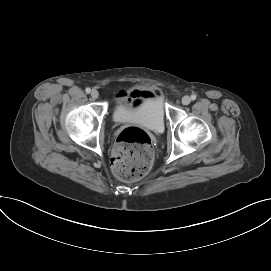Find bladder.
Returning <instances> with one entry per match:
<instances>
[{"label": "bladder", "mask_w": 271, "mask_h": 271, "mask_svg": "<svg viewBox=\"0 0 271 271\" xmlns=\"http://www.w3.org/2000/svg\"><path fill=\"white\" fill-rule=\"evenodd\" d=\"M112 118L116 123H139L154 132H161L165 126L163 100L156 94L136 104L119 102L113 109Z\"/></svg>", "instance_id": "bladder-1"}]
</instances>
